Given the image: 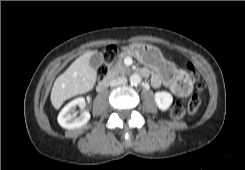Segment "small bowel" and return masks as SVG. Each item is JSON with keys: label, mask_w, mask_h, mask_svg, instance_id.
Returning a JSON list of instances; mask_svg holds the SVG:
<instances>
[{"label": "small bowel", "mask_w": 245, "mask_h": 170, "mask_svg": "<svg viewBox=\"0 0 245 170\" xmlns=\"http://www.w3.org/2000/svg\"><path fill=\"white\" fill-rule=\"evenodd\" d=\"M141 73L144 76H148L150 74L148 69H143ZM185 80L186 74L178 69H176L170 63H163L155 73L151 75L150 84L154 88H159L160 86L164 85L168 89H173V83L176 80Z\"/></svg>", "instance_id": "obj_1"}]
</instances>
